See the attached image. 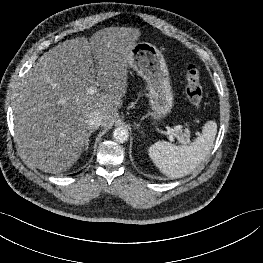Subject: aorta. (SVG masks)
I'll list each match as a JSON object with an SVG mask.
<instances>
[{
  "label": "aorta",
  "instance_id": "1",
  "mask_svg": "<svg viewBox=\"0 0 263 263\" xmlns=\"http://www.w3.org/2000/svg\"><path fill=\"white\" fill-rule=\"evenodd\" d=\"M129 138V132L123 127H118L113 131V139L118 143H124Z\"/></svg>",
  "mask_w": 263,
  "mask_h": 263
}]
</instances>
